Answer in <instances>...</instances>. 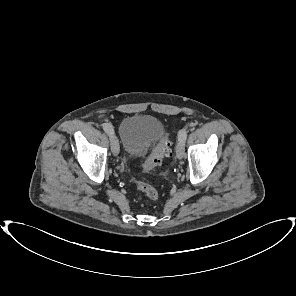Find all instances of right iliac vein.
Here are the masks:
<instances>
[{"instance_id": "obj_1", "label": "right iliac vein", "mask_w": 296, "mask_h": 296, "mask_svg": "<svg viewBox=\"0 0 296 296\" xmlns=\"http://www.w3.org/2000/svg\"><path fill=\"white\" fill-rule=\"evenodd\" d=\"M111 150L115 156L119 154V143L115 134H110Z\"/></svg>"}]
</instances>
